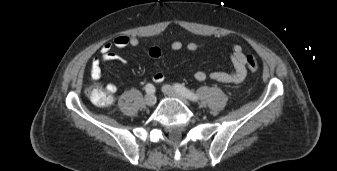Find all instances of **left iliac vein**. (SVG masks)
Returning <instances> with one entry per match:
<instances>
[{
	"instance_id": "obj_1",
	"label": "left iliac vein",
	"mask_w": 337,
	"mask_h": 171,
	"mask_svg": "<svg viewBox=\"0 0 337 171\" xmlns=\"http://www.w3.org/2000/svg\"><path fill=\"white\" fill-rule=\"evenodd\" d=\"M162 91L164 94H166L169 97H174L182 101L186 105H190L189 101L181 95L179 92H177L172 86L165 84L162 86Z\"/></svg>"
}]
</instances>
